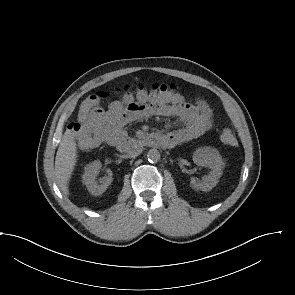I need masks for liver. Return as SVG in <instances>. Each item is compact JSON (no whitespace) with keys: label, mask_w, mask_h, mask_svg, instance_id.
<instances>
[{"label":"liver","mask_w":295,"mask_h":295,"mask_svg":"<svg viewBox=\"0 0 295 295\" xmlns=\"http://www.w3.org/2000/svg\"><path fill=\"white\" fill-rule=\"evenodd\" d=\"M75 138L70 130H66L55 158V173L57 185L63 194L68 195V183L77 162V147Z\"/></svg>","instance_id":"1"}]
</instances>
